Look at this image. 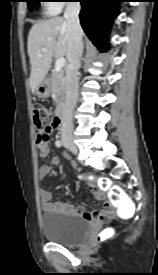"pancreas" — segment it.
<instances>
[{
	"label": "pancreas",
	"mask_w": 158,
	"mask_h": 275,
	"mask_svg": "<svg viewBox=\"0 0 158 275\" xmlns=\"http://www.w3.org/2000/svg\"><path fill=\"white\" fill-rule=\"evenodd\" d=\"M50 92L55 96L57 102H62L65 99L66 93V78L62 71H53L51 74Z\"/></svg>",
	"instance_id": "pancreas-1"
}]
</instances>
